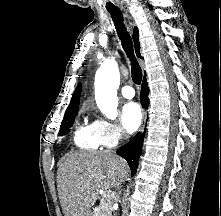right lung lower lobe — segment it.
Here are the masks:
<instances>
[{"instance_id": "right-lung-lower-lobe-1", "label": "right lung lower lobe", "mask_w": 221, "mask_h": 216, "mask_svg": "<svg viewBox=\"0 0 221 216\" xmlns=\"http://www.w3.org/2000/svg\"><path fill=\"white\" fill-rule=\"evenodd\" d=\"M148 93L149 90L147 86V80L146 77H144L140 94L141 104L143 107H147L149 104ZM143 140L144 134L141 135L140 133H138L130 142L117 150V154L126 159V161L128 162L132 176L134 175L138 167V161L142 152Z\"/></svg>"}]
</instances>
